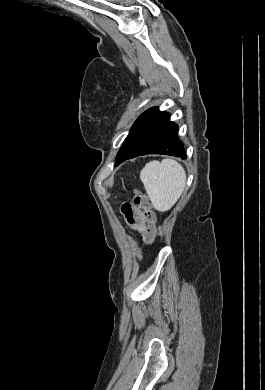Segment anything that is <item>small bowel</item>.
<instances>
[{
  "label": "small bowel",
  "instance_id": "1",
  "mask_svg": "<svg viewBox=\"0 0 265 390\" xmlns=\"http://www.w3.org/2000/svg\"><path fill=\"white\" fill-rule=\"evenodd\" d=\"M121 210L128 224L147 238L152 227L146 223L143 212L128 202L122 205Z\"/></svg>",
  "mask_w": 265,
  "mask_h": 390
}]
</instances>
